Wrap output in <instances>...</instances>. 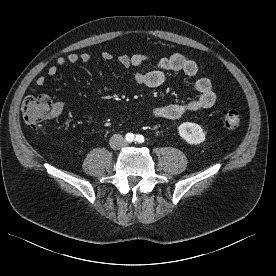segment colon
I'll use <instances>...</instances> for the list:
<instances>
[{"mask_svg": "<svg viewBox=\"0 0 276 276\" xmlns=\"http://www.w3.org/2000/svg\"><path fill=\"white\" fill-rule=\"evenodd\" d=\"M24 121L34 129L43 131V123L51 119L55 113V104L47 95L28 96L21 106ZM227 128L236 129L241 125V115L236 110H228L224 115Z\"/></svg>", "mask_w": 276, "mask_h": 276, "instance_id": "colon-1", "label": "colon"}]
</instances>
